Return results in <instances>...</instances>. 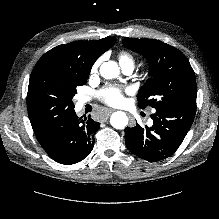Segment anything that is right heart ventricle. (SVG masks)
Wrapping results in <instances>:
<instances>
[{
    "mask_svg": "<svg viewBox=\"0 0 219 219\" xmlns=\"http://www.w3.org/2000/svg\"><path fill=\"white\" fill-rule=\"evenodd\" d=\"M118 60H119V64L121 65V67H124L126 65L134 66V63H135L133 56L127 51H121L118 54Z\"/></svg>",
    "mask_w": 219,
    "mask_h": 219,
    "instance_id": "right-heart-ventricle-1",
    "label": "right heart ventricle"
}]
</instances>
